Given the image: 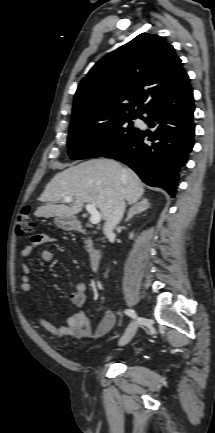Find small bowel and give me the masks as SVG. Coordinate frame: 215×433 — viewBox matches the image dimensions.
Wrapping results in <instances>:
<instances>
[{
	"instance_id": "obj_1",
	"label": "small bowel",
	"mask_w": 215,
	"mask_h": 433,
	"mask_svg": "<svg viewBox=\"0 0 215 433\" xmlns=\"http://www.w3.org/2000/svg\"><path fill=\"white\" fill-rule=\"evenodd\" d=\"M54 241V238L47 233H38L33 239L32 243L25 245L21 249V256L28 258L33 251L34 246H44ZM40 259L44 263H50L54 259L53 252L50 249H44L41 252ZM21 284L20 291L25 297L32 294V285L30 282L31 268L28 264H24L21 268ZM87 285L83 281L75 284L73 292L70 294V301L73 306L81 307L86 301ZM38 323L47 332L56 337H74L77 339L96 340L107 334L114 327L116 323L115 314L108 310L103 318L98 323L95 330L91 329L90 322L83 311L73 312L66 320V325L57 327L52 324L44 316H38Z\"/></svg>"
}]
</instances>
